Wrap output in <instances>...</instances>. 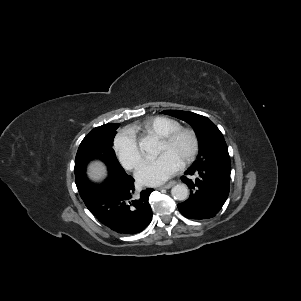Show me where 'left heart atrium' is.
Segmentation results:
<instances>
[{"label": "left heart atrium", "instance_id": "obj_1", "mask_svg": "<svg viewBox=\"0 0 301 301\" xmlns=\"http://www.w3.org/2000/svg\"><path fill=\"white\" fill-rule=\"evenodd\" d=\"M181 167V162L169 153H163L154 160L144 162L136 173L137 179L148 185L166 181Z\"/></svg>", "mask_w": 301, "mask_h": 301}]
</instances>
